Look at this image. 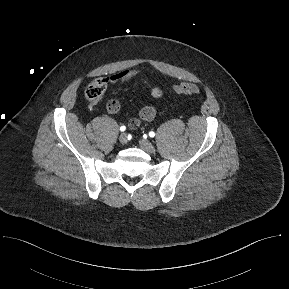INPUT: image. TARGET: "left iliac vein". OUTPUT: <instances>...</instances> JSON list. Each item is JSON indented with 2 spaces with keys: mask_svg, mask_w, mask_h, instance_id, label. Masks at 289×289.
Returning <instances> with one entry per match:
<instances>
[{
  "mask_svg": "<svg viewBox=\"0 0 289 289\" xmlns=\"http://www.w3.org/2000/svg\"><path fill=\"white\" fill-rule=\"evenodd\" d=\"M139 144H140V147L144 151H146L148 153H154L155 152L154 145L151 142H149L148 140L142 139V140L139 141Z\"/></svg>",
  "mask_w": 289,
  "mask_h": 289,
  "instance_id": "left-iliac-vein-1",
  "label": "left iliac vein"
}]
</instances>
